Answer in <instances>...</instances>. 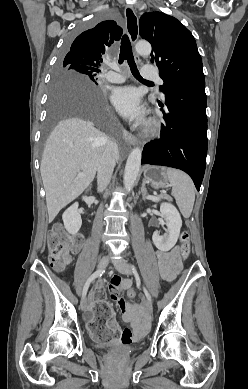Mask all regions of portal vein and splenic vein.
<instances>
[{
    "instance_id": "portal-vein-and-splenic-vein-1",
    "label": "portal vein and splenic vein",
    "mask_w": 248,
    "mask_h": 389,
    "mask_svg": "<svg viewBox=\"0 0 248 389\" xmlns=\"http://www.w3.org/2000/svg\"><path fill=\"white\" fill-rule=\"evenodd\" d=\"M78 176H79V177H84L85 174L82 173V172H80V173H78ZM161 197H162V196H161ZM149 198H150V199H153V200H158V199H160V197H158V196H150Z\"/></svg>"
}]
</instances>
